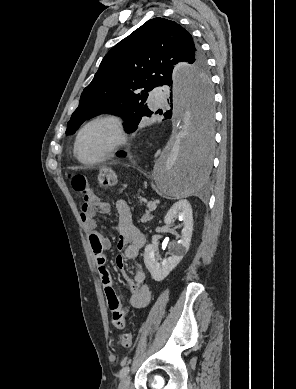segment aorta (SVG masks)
I'll list each match as a JSON object with an SVG mask.
<instances>
[{"label": "aorta", "instance_id": "1", "mask_svg": "<svg viewBox=\"0 0 296 389\" xmlns=\"http://www.w3.org/2000/svg\"><path fill=\"white\" fill-rule=\"evenodd\" d=\"M210 72L179 64L173 74L176 130L154 169L158 189L185 197L207 182L214 151V104Z\"/></svg>", "mask_w": 296, "mask_h": 389}]
</instances>
